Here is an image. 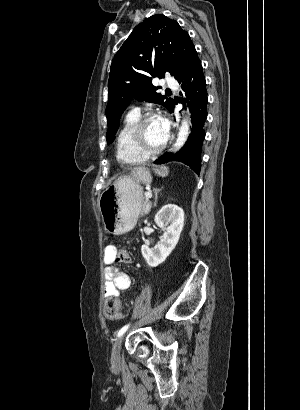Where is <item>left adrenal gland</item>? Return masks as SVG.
I'll use <instances>...</instances> for the list:
<instances>
[{"mask_svg": "<svg viewBox=\"0 0 300 410\" xmlns=\"http://www.w3.org/2000/svg\"><path fill=\"white\" fill-rule=\"evenodd\" d=\"M160 190H161V189H157V188L153 189L154 194H155V197H154V204H153V206H156V204H157V200H158V193L160 192Z\"/></svg>", "mask_w": 300, "mask_h": 410, "instance_id": "obj_1", "label": "left adrenal gland"}]
</instances>
